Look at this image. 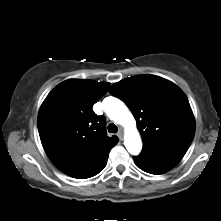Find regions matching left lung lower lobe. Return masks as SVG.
Listing matches in <instances>:
<instances>
[{"label":"left lung lower lobe","instance_id":"0a47b994","mask_svg":"<svg viewBox=\"0 0 221 221\" xmlns=\"http://www.w3.org/2000/svg\"><path fill=\"white\" fill-rule=\"evenodd\" d=\"M185 153L173 152L166 154L141 153L133 157L135 164L143 171L151 174H162L176 166Z\"/></svg>","mask_w":221,"mask_h":221}]
</instances>
